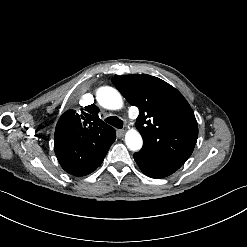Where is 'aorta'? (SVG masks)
I'll return each mask as SVG.
<instances>
[{
	"label": "aorta",
	"mask_w": 247,
	"mask_h": 247,
	"mask_svg": "<svg viewBox=\"0 0 247 247\" xmlns=\"http://www.w3.org/2000/svg\"><path fill=\"white\" fill-rule=\"evenodd\" d=\"M96 99L102 107L110 110H118L123 105L121 94L109 86L99 88ZM125 143L130 150L138 151L142 148L143 140L138 131L131 129L125 135Z\"/></svg>",
	"instance_id": "obj_1"
}]
</instances>
